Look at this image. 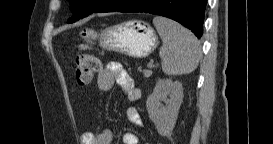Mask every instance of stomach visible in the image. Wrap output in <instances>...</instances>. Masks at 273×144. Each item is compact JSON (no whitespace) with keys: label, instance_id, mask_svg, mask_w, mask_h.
Here are the masks:
<instances>
[{"label":"stomach","instance_id":"obj_1","mask_svg":"<svg viewBox=\"0 0 273 144\" xmlns=\"http://www.w3.org/2000/svg\"><path fill=\"white\" fill-rule=\"evenodd\" d=\"M99 44L103 49L134 58L150 55L158 45L154 30L141 21H127L101 31Z\"/></svg>","mask_w":273,"mask_h":144}]
</instances>
